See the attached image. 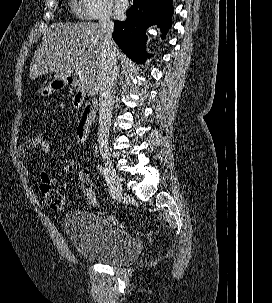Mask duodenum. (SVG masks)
I'll return each instance as SVG.
<instances>
[{"mask_svg":"<svg viewBox=\"0 0 272 303\" xmlns=\"http://www.w3.org/2000/svg\"><path fill=\"white\" fill-rule=\"evenodd\" d=\"M66 83L76 91L73 98V105L81 111L80 121L76 128V139L78 142H85L88 137L89 128L95 117L96 102L94 100L85 101V87L75 76H67Z\"/></svg>","mask_w":272,"mask_h":303,"instance_id":"1","label":"duodenum"}]
</instances>
